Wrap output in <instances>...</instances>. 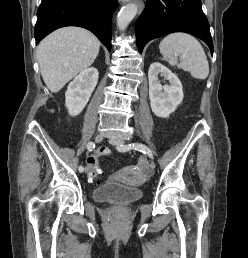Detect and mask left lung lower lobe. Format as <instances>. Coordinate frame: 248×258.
Here are the masks:
<instances>
[{
    "label": "left lung lower lobe",
    "mask_w": 248,
    "mask_h": 258,
    "mask_svg": "<svg viewBox=\"0 0 248 258\" xmlns=\"http://www.w3.org/2000/svg\"><path fill=\"white\" fill-rule=\"evenodd\" d=\"M171 32H186L200 38L213 54L209 23L201 0H147L135 26L139 52L142 53L148 41Z\"/></svg>",
    "instance_id": "obj_1"
}]
</instances>
